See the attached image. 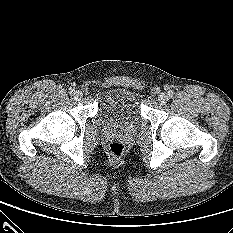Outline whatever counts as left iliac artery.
<instances>
[{
    "label": "left iliac artery",
    "instance_id": "1",
    "mask_svg": "<svg viewBox=\"0 0 233 233\" xmlns=\"http://www.w3.org/2000/svg\"><path fill=\"white\" fill-rule=\"evenodd\" d=\"M167 95H168L169 98H172L174 96V92L173 91H169L167 93Z\"/></svg>",
    "mask_w": 233,
    "mask_h": 233
}]
</instances>
